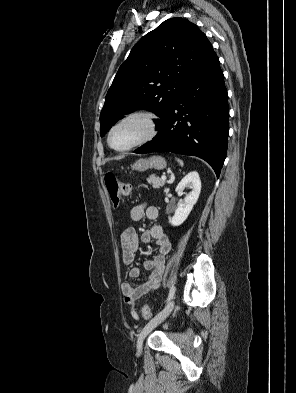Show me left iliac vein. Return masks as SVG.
Wrapping results in <instances>:
<instances>
[{
    "label": "left iliac vein",
    "mask_w": 296,
    "mask_h": 393,
    "mask_svg": "<svg viewBox=\"0 0 296 393\" xmlns=\"http://www.w3.org/2000/svg\"><path fill=\"white\" fill-rule=\"evenodd\" d=\"M174 307V300H171L168 302V304L164 307L162 311H160L155 317H153L143 328V330L140 332L138 336V341H137V349L140 351L142 349V344L143 340L145 337L155 328L157 327L161 322H163L169 314L172 312Z\"/></svg>",
    "instance_id": "obj_1"
}]
</instances>
